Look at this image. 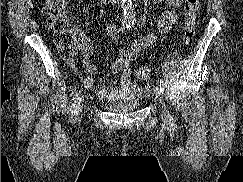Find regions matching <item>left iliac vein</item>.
Segmentation results:
<instances>
[{
    "instance_id": "left-iliac-vein-1",
    "label": "left iliac vein",
    "mask_w": 243,
    "mask_h": 182,
    "mask_svg": "<svg viewBox=\"0 0 243 182\" xmlns=\"http://www.w3.org/2000/svg\"><path fill=\"white\" fill-rule=\"evenodd\" d=\"M154 92L156 94V96L159 98V100L161 101L162 103V111H161V116H162V121L164 124H168L169 123V119H170V115H169V111L166 107V105L164 104V102H162V91L161 89L157 86L155 87L154 89Z\"/></svg>"
}]
</instances>
